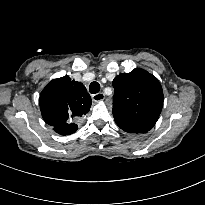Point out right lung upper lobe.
<instances>
[{"label": "right lung upper lobe", "instance_id": "obj_1", "mask_svg": "<svg viewBox=\"0 0 205 205\" xmlns=\"http://www.w3.org/2000/svg\"><path fill=\"white\" fill-rule=\"evenodd\" d=\"M40 109L44 121L61 135L77 130L75 122L91 107V97L85 86L69 76L52 80L40 94Z\"/></svg>", "mask_w": 205, "mask_h": 205}]
</instances>
